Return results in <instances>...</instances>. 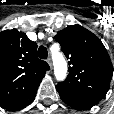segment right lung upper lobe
<instances>
[{
    "label": "right lung upper lobe",
    "instance_id": "1",
    "mask_svg": "<svg viewBox=\"0 0 114 114\" xmlns=\"http://www.w3.org/2000/svg\"><path fill=\"white\" fill-rule=\"evenodd\" d=\"M37 44L17 29L0 32V106L36 95L49 66L36 55Z\"/></svg>",
    "mask_w": 114,
    "mask_h": 114
}]
</instances>
